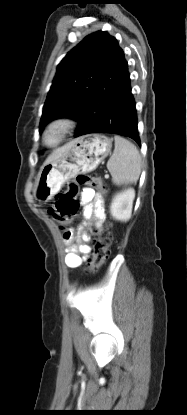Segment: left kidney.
I'll use <instances>...</instances> for the list:
<instances>
[{
	"mask_svg": "<svg viewBox=\"0 0 187 415\" xmlns=\"http://www.w3.org/2000/svg\"><path fill=\"white\" fill-rule=\"evenodd\" d=\"M134 198L135 191L133 188L117 193L110 206L112 217L119 221H128L131 217Z\"/></svg>",
	"mask_w": 187,
	"mask_h": 415,
	"instance_id": "1",
	"label": "left kidney"
}]
</instances>
